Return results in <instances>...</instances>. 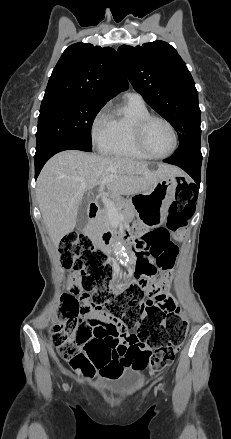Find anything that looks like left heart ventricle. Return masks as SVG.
I'll use <instances>...</instances> for the list:
<instances>
[{
	"label": "left heart ventricle",
	"mask_w": 231,
	"mask_h": 439,
	"mask_svg": "<svg viewBox=\"0 0 231 439\" xmlns=\"http://www.w3.org/2000/svg\"><path fill=\"white\" fill-rule=\"evenodd\" d=\"M146 143L156 155H164L173 147V135L170 128L161 121H153L146 131Z\"/></svg>",
	"instance_id": "obj_1"
}]
</instances>
